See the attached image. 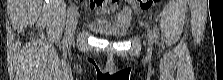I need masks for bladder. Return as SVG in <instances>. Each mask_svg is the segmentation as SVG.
<instances>
[{
  "label": "bladder",
  "mask_w": 223,
  "mask_h": 80,
  "mask_svg": "<svg viewBox=\"0 0 223 80\" xmlns=\"http://www.w3.org/2000/svg\"><path fill=\"white\" fill-rule=\"evenodd\" d=\"M90 28L97 34L111 38H122L128 34L125 29L110 24L94 23Z\"/></svg>",
  "instance_id": "1"
}]
</instances>
